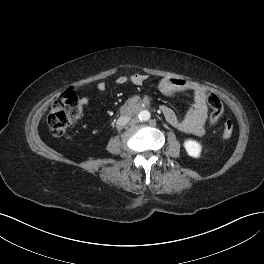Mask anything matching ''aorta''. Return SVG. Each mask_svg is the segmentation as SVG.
I'll return each mask as SVG.
<instances>
[{
  "label": "aorta",
  "mask_w": 264,
  "mask_h": 264,
  "mask_svg": "<svg viewBox=\"0 0 264 264\" xmlns=\"http://www.w3.org/2000/svg\"><path fill=\"white\" fill-rule=\"evenodd\" d=\"M140 121H148L151 118V114L148 110H141L136 117Z\"/></svg>",
  "instance_id": "762f6f07"
}]
</instances>
